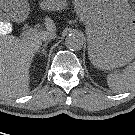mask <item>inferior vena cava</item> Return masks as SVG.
<instances>
[{
    "label": "inferior vena cava",
    "instance_id": "1",
    "mask_svg": "<svg viewBox=\"0 0 135 135\" xmlns=\"http://www.w3.org/2000/svg\"><path fill=\"white\" fill-rule=\"evenodd\" d=\"M56 38V33L54 32H48L45 31L42 33L41 40L42 41H47V40H52Z\"/></svg>",
    "mask_w": 135,
    "mask_h": 135
}]
</instances>
